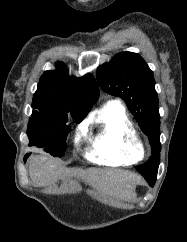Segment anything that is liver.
<instances>
[{"label": "liver", "mask_w": 187, "mask_h": 242, "mask_svg": "<svg viewBox=\"0 0 187 242\" xmlns=\"http://www.w3.org/2000/svg\"><path fill=\"white\" fill-rule=\"evenodd\" d=\"M74 174L96 186L104 194L128 200L133 196L139 176L130 171L90 168L68 169L62 162L45 155H32L29 160V176L37 186L50 185Z\"/></svg>", "instance_id": "liver-1"}]
</instances>
